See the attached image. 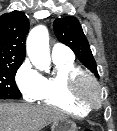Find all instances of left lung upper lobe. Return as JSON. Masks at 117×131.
<instances>
[{"instance_id": "obj_1", "label": "left lung upper lobe", "mask_w": 117, "mask_h": 131, "mask_svg": "<svg viewBox=\"0 0 117 131\" xmlns=\"http://www.w3.org/2000/svg\"><path fill=\"white\" fill-rule=\"evenodd\" d=\"M53 29L58 40L69 46L80 62L98 76L96 62L79 21L72 16L54 20Z\"/></svg>"}]
</instances>
